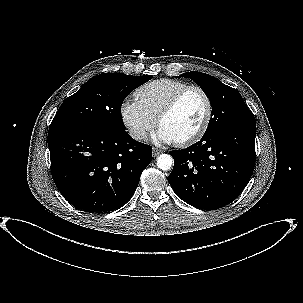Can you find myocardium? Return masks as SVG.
I'll list each match as a JSON object with an SVG mask.
<instances>
[{"label":"myocardium","mask_w":303,"mask_h":303,"mask_svg":"<svg viewBox=\"0 0 303 303\" xmlns=\"http://www.w3.org/2000/svg\"><path fill=\"white\" fill-rule=\"evenodd\" d=\"M190 91H197L202 95V97L205 100L206 111H205L204 118H203L199 128L193 134H191L190 136H188L182 140L175 141L176 144L179 146H188V145L194 144L197 141H199L206 133V131L210 125V122L212 119V114H213L212 101H211L209 95L207 94V92L202 87L197 86V85H189V86L183 88L170 99V101L165 105V107L161 110V112L158 114V116L156 118L157 125L160 126L162 121L176 109V107L178 106L180 101L183 99V97Z\"/></svg>","instance_id":"myocardium-1"}]
</instances>
